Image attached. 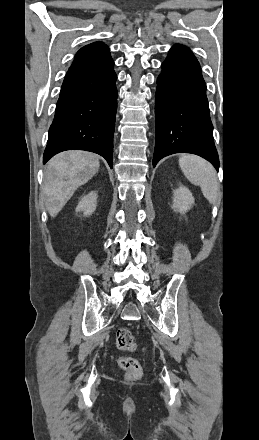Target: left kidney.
<instances>
[{
    "label": "left kidney",
    "mask_w": 259,
    "mask_h": 440,
    "mask_svg": "<svg viewBox=\"0 0 259 440\" xmlns=\"http://www.w3.org/2000/svg\"><path fill=\"white\" fill-rule=\"evenodd\" d=\"M194 203V197L187 187L180 186L173 190V205L175 212L186 213Z\"/></svg>",
    "instance_id": "1"
}]
</instances>
